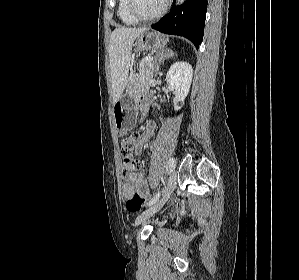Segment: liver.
<instances>
[{
    "instance_id": "1",
    "label": "liver",
    "mask_w": 299,
    "mask_h": 280,
    "mask_svg": "<svg viewBox=\"0 0 299 280\" xmlns=\"http://www.w3.org/2000/svg\"><path fill=\"white\" fill-rule=\"evenodd\" d=\"M147 28H116L109 42V60L112 79V101L115 104L121 97L127 83L131 60V51L134 41Z\"/></svg>"
}]
</instances>
